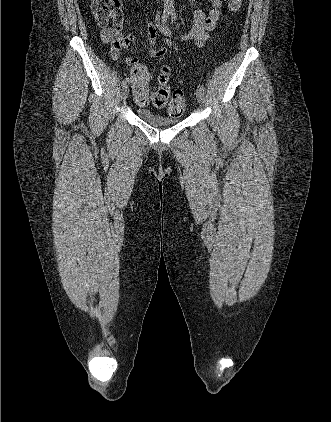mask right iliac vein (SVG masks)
<instances>
[{"mask_svg": "<svg viewBox=\"0 0 331 422\" xmlns=\"http://www.w3.org/2000/svg\"><path fill=\"white\" fill-rule=\"evenodd\" d=\"M129 94V89L128 86H124L121 90V94H120V98L122 101H125L126 98L128 97Z\"/></svg>", "mask_w": 331, "mask_h": 422, "instance_id": "right-iliac-vein-1", "label": "right iliac vein"}]
</instances>
